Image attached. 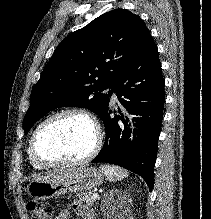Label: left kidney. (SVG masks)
<instances>
[{
	"label": "left kidney",
	"mask_w": 211,
	"mask_h": 219,
	"mask_svg": "<svg viewBox=\"0 0 211 219\" xmlns=\"http://www.w3.org/2000/svg\"><path fill=\"white\" fill-rule=\"evenodd\" d=\"M114 192H115V194H121V192H119L118 190H115ZM111 193H113V191ZM120 196H122V198L120 199L121 201L118 203V205L123 206V202H124L123 200H125L128 197V195L125 192H123V195H120Z\"/></svg>",
	"instance_id": "5707ae66"
}]
</instances>
